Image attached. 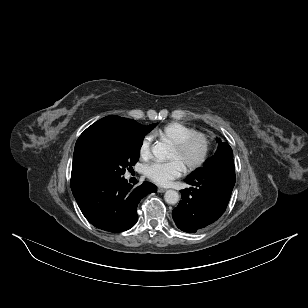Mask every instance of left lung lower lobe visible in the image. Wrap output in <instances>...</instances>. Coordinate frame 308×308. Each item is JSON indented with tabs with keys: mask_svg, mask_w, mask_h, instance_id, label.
<instances>
[{
	"mask_svg": "<svg viewBox=\"0 0 308 308\" xmlns=\"http://www.w3.org/2000/svg\"><path fill=\"white\" fill-rule=\"evenodd\" d=\"M194 188L181 190L172 212L179 229L195 233L215 222L225 211L235 184L232 160L221 161L186 179Z\"/></svg>",
	"mask_w": 308,
	"mask_h": 308,
	"instance_id": "0a47b994",
	"label": "left lung lower lobe"
}]
</instances>
